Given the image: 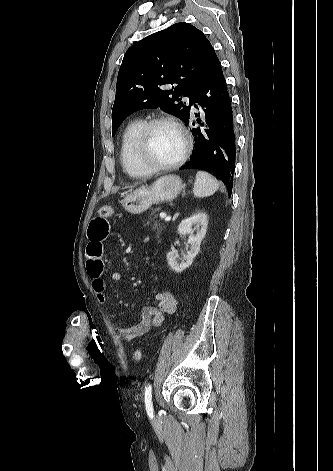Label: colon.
Instances as JSON below:
<instances>
[{
    "label": "colon",
    "instance_id": "colon-1",
    "mask_svg": "<svg viewBox=\"0 0 333 471\" xmlns=\"http://www.w3.org/2000/svg\"><path fill=\"white\" fill-rule=\"evenodd\" d=\"M99 215L103 217H110L114 214V208L109 205L101 206L98 210ZM142 351L140 349L135 350L134 359L139 361L142 359Z\"/></svg>",
    "mask_w": 333,
    "mask_h": 471
}]
</instances>
